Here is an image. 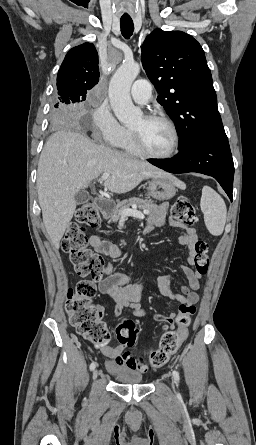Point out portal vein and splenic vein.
Returning <instances> with one entry per match:
<instances>
[{"label":"portal vein and splenic vein","instance_id":"portal-vein-and-splenic-vein-1","mask_svg":"<svg viewBox=\"0 0 256 445\" xmlns=\"http://www.w3.org/2000/svg\"><path fill=\"white\" fill-rule=\"evenodd\" d=\"M109 176L110 175L108 173L102 174L100 182L107 180L109 178ZM147 213H148L147 210H144L143 212H141L136 209H124L121 211V216L122 217L133 216L138 219H144V217H145L144 214H147Z\"/></svg>","mask_w":256,"mask_h":445}]
</instances>
